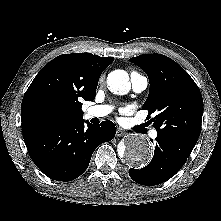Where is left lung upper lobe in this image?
I'll return each mask as SVG.
<instances>
[{
    "instance_id": "obj_1",
    "label": "left lung upper lobe",
    "mask_w": 221,
    "mask_h": 221,
    "mask_svg": "<svg viewBox=\"0 0 221 221\" xmlns=\"http://www.w3.org/2000/svg\"><path fill=\"white\" fill-rule=\"evenodd\" d=\"M148 75L150 90L143 105L156 113L153 122L158 135H166L195 145L203 114L201 92L175 61L161 54H144L130 58Z\"/></svg>"
}]
</instances>
